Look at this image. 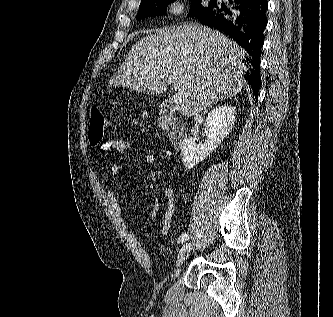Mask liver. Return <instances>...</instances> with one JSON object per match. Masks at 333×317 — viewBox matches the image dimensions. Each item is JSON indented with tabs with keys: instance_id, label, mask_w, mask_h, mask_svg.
Segmentation results:
<instances>
[{
	"instance_id": "6515ba94",
	"label": "liver",
	"mask_w": 333,
	"mask_h": 317,
	"mask_svg": "<svg viewBox=\"0 0 333 317\" xmlns=\"http://www.w3.org/2000/svg\"><path fill=\"white\" fill-rule=\"evenodd\" d=\"M245 54L225 35L199 24L158 29L132 47L110 85L154 95L173 84L182 93L179 111L195 116L241 91Z\"/></svg>"
}]
</instances>
